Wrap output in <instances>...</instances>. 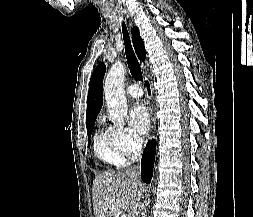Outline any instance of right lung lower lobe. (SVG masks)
Masks as SVG:
<instances>
[{
    "instance_id": "obj_1",
    "label": "right lung lower lobe",
    "mask_w": 253,
    "mask_h": 217,
    "mask_svg": "<svg viewBox=\"0 0 253 217\" xmlns=\"http://www.w3.org/2000/svg\"><path fill=\"white\" fill-rule=\"evenodd\" d=\"M155 151H156V142L154 140L149 141L147 147L143 152L141 163V178L145 183H150L153 175Z\"/></svg>"
}]
</instances>
